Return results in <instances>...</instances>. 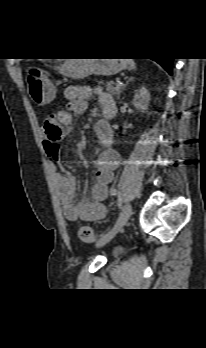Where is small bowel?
<instances>
[{
	"instance_id": "obj_1",
	"label": "small bowel",
	"mask_w": 206,
	"mask_h": 348,
	"mask_svg": "<svg viewBox=\"0 0 206 348\" xmlns=\"http://www.w3.org/2000/svg\"><path fill=\"white\" fill-rule=\"evenodd\" d=\"M93 96L97 98L103 110L115 106L113 98L108 93L99 89L93 90L85 85H70L64 90V97L67 100L66 107L49 117L44 126L43 150L52 172L53 183L62 203L64 215L70 222L80 219L95 221L104 218L106 209L103 202L107 198L108 186L112 182L114 171L120 165V157L115 150H104L96 164L95 182L91 188L90 199L75 202L77 179L59 167L60 148L66 131L72 125V116L83 113ZM102 129H105L110 136L112 135L111 127L105 120L96 123L98 134Z\"/></svg>"
}]
</instances>
